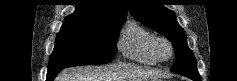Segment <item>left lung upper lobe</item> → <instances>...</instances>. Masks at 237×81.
<instances>
[{
  "mask_svg": "<svg viewBox=\"0 0 237 81\" xmlns=\"http://www.w3.org/2000/svg\"><path fill=\"white\" fill-rule=\"evenodd\" d=\"M128 2L129 11L136 20L161 33L173 43L176 61L171 71L200 79L196 59L187 45L186 34L178 24L175 13L165 8L160 0Z\"/></svg>",
  "mask_w": 237,
  "mask_h": 81,
  "instance_id": "5c2ea615",
  "label": "left lung upper lobe"
}]
</instances>
